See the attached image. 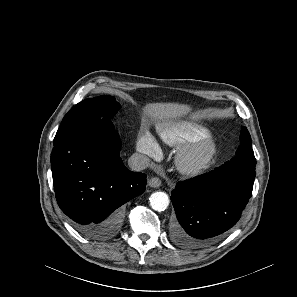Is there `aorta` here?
<instances>
[{"mask_svg": "<svg viewBox=\"0 0 297 297\" xmlns=\"http://www.w3.org/2000/svg\"><path fill=\"white\" fill-rule=\"evenodd\" d=\"M150 205L155 211H164L169 205V197L165 192H154L151 194Z\"/></svg>", "mask_w": 297, "mask_h": 297, "instance_id": "obj_1", "label": "aorta"}]
</instances>
